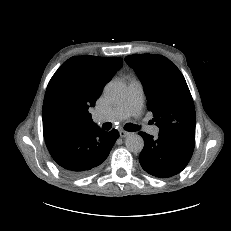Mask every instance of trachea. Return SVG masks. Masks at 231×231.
<instances>
[{"label": "trachea", "instance_id": "obj_1", "mask_svg": "<svg viewBox=\"0 0 231 231\" xmlns=\"http://www.w3.org/2000/svg\"><path fill=\"white\" fill-rule=\"evenodd\" d=\"M111 127H112V125H111V123H109V122L103 124V126H102V128H103L104 130H109V129H111ZM124 129L127 130V131H137V130L140 129V126H138V125H133V124H126V125L124 126Z\"/></svg>", "mask_w": 231, "mask_h": 231}]
</instances>
